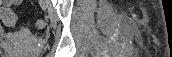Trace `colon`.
Here are the masks:
<instances>
[{"instance_id": "5ec220e1", "label": "colon", "mask_w": 172, "mask_h": 57, "mask_svg": "<svg viewBox=\"0 0 172 57\" xmlns=\"http://www.w3.org/2000/svg\"><path fill=\"white\" fill-rule=\"evenodd\" d=\"M0 19L5 23L8 27H15L17 24V16L14 14V12L7 7H1L0 8ZM46 25L45 21L42 19H39L35 22V27L38 29L44 28Z\"/></svg>"}]
</instances>
